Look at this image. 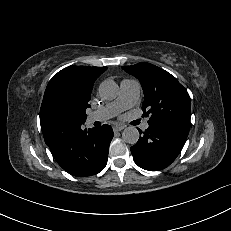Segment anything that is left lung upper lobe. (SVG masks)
Wrapping results in <instances>:
<instances>
[{"mask_svg": "<svg viewBox=\"0 0 231 231\" xmlns=\"http://www.w3.org/2000/svg\"><path fill=\"white\" fill-rule=\"evenodd\" d=\"M122 68L141 82L143 116H150L148 122L168 121L190 128V96L173 75L145 62Z\"/></svg>", "mask_w": 231, "mask_h": 231, "instance_id": "left-lung-upper-lobe-1", "label": "left lung upper lobe"}]
</instances>
